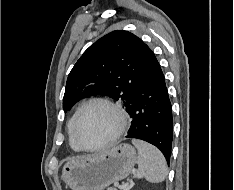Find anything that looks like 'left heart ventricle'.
Masks as SVG:
<instances>
[{"label": "left heart ventricle", "mask_w": 234, "mask_h": 190, "mask_svg": "<svg viewBox=\"0 0 234 190\" xmlns=\"http://www.w3.org/2000/svg\"><path fill=\"white\" fill-rule=\"evenodd\" d=\"M118 126L112 110L103 105H93L82 115L77 138L85 146L93 147L109 139Z\"/></svg>", "instance_id": "obj_1"}]
</instances>
